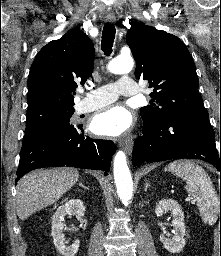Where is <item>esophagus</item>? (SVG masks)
Segmentation results:
<instances>
[{"label":"esophagus","mask_w":221,"mask_h":256,"mask_svg":"<svg viewBox=\"0 0 221 256\" xmlns=\"http://www.w3.org/2000/svg\"><path fill=\"white\" fill-rule=\"evenodd\" d=\"M106 21L108 23H113L115 22V17L113 16H108ZM133 142H134V137L132 135H128V136H125L123 138H121L119 140V145L121 147H124L125 151L130 154L132 152V148H133Z\"/></svg>","instance_id":"1"}]
</instances>
